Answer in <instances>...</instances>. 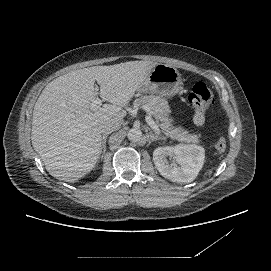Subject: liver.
Here are the masks:
<instances>
[{
	"label": "liver",
	"instance_id": "liver-1",
	"mask_svg": "<svg viewBox=\"0 0 271 271\" xmlns=\"http://www.w3.org/2000/svg\"><path fill=\"white\" fill-rule=\"evenodd\" d=\"M156 63L129 61L70 71L46 85L35 103L31 140L48 173L75 182L96 165L101 151V126L123 122V107L145 82ZM95 82L104 104L91 110Z\"/></svg>",
	"mask_w": 271,
	"mask_h": 271
}]
</instances>
